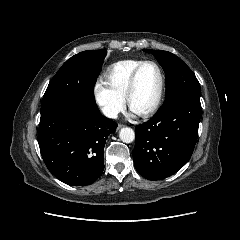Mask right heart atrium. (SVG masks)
I'll return each mask as SVG.
<instances>
[{
    "label": "right heart atrium",
    "mask_w": 240,
    "mask_h": 240,
    "mask_svg": "<svg viewBox=\"0 0 240 240\" xmlns=\"http://www.w3.org/2000/svg\"><path fill=\"white\" fill-rule=\"evenodd\" d=\"M93 97L102 113L111 119L116 118L125 105V99L101 80L93 86Z\"/></svg>",
    "instance_id": "1"
}]
</instances>
